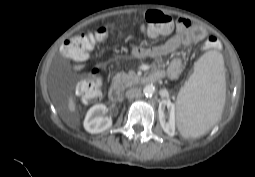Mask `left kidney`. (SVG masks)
Here are the masks:
<instances>
[{
	"instance_id": "left-kidney-1",
	"label": "left kidney",
	"mask_w": 255,
	"mask_h": 177,
	"mask_svg": "<svg viewBox=\"0 0 255 177\" xmlns=\"http://www.w3.org/2000/svg\"><path fill=\"white\" fill-rule=\"evenodd\" d=\"M162 104L166 105L169 113L166 115L163 111ZM159 119L161 126L168 135H174L175 133V105L170 101H164L159 107Z\"/></svg>"
}]
</instances>
